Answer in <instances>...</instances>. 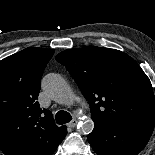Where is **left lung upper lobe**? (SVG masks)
<instances>
[{
  "instance_id": "left-lung-upper-lobe-1",
  "label": "left lung upper lobe",
  "mask_w": 155,
  "mask_h": 155,
  "mask_svg": "<svg viewBox=\"0 0 155 155\" xmlns=\"http://www.w3.org/2000/svg\"><path fill=\"white\" fill-rule=\"evenodd\" d=\"M78 84L91 106V118L101 122L155 120L151 82L126 53L101 47L65 50L56 56Z\"/></svg>"
}]
</instances>
